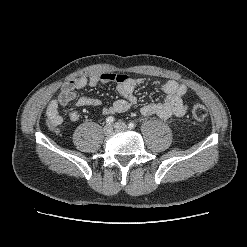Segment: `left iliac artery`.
Masks as SVG:
<instances>
[{
  "instance_id": "left-iliac-artery-1",
  "label": "left iliac artery",
  "mask_w": 247,
  "mask_h": 247,
  "mask_svg": "<svg viewBox=\"0 0 247 247\" xmlns=\"http://www.w3.org/2000/svg\"><path fill=\"white\" fill-rule=\"evenodd\" d=\"M128 128H130V129L135 128V124H134L133 122H130V123L128 124Z\"/></svg>"
}]
</instances>
